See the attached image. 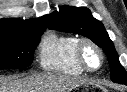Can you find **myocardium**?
Segmentation results:
<instances>
[{
  "label": "myocardium",
  "mask_w": 127,
  "mask_h": 92,
  "mask_svg": "<svg viewBox=\"0 0 127 92\" xmlns=\"http://www.w3.org/2000/svg\"><path fill=\"white\" fill-rule=\"evenodd\" d=\"M86 47L93 48L100 56V63L97 68H91L87 65L85 61L84 51ZM75 58L78 65L84 70L88 72H95L102 68V66L105 63V54L102 50V48L95 43L93 40L89 38H82L79 39L76 48H75Z\"/></svg>",
  "instance_id": "obj_1"
}]
</instances>
